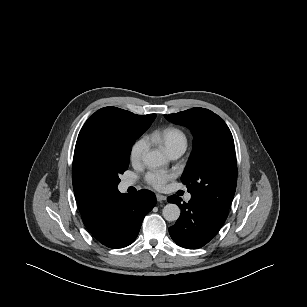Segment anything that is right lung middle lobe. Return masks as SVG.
Wrapping results in <instances>:
<instances>
[{
    "label": "right lung middle lobe",
    "mask_w": 307,
    "mask_h": 307,
    "mask_svg": "<svg viewBox=\"0 0 307 307\" xmlns=\"http://www.w3.org/2000/svg\"><path fill=\"white\" fill-rule=\"evenodd\" d=\"M150 126L137 120L107 116L85 133L81 159L88 182L117 191L119 175L128 169L132 145Z\"/></svg>",
    "instance_id": "obj_1"
}]
</instances>
